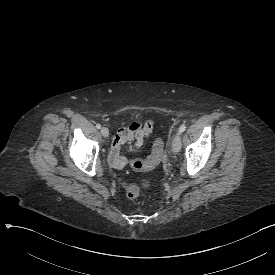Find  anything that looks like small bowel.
Wrapping results in <instances>:
<instances>
[{
	"instance_id": "obj_1",
	"label": "small bowel",
	"mask_w": 275,
	"mask_h": 275,
	"mask_svg": "<svg viewBox=\"0 0 275 275\" xmlns=\"http://www.w3.org/2000/svg\"><path fill=\"white\" fill-rule=\"evenodd\" d=\"M157 121L154 119H147L145 123H136L127 130H118L116 137L113 139L110 152L109 162L117 169L123 168L127 164L125 157L120 155L121 145L126 141H131L135 138L132 149L139 147L143 142H147L151 136L153 129L157 128Z\"/></svg>"
}]
</instances>
